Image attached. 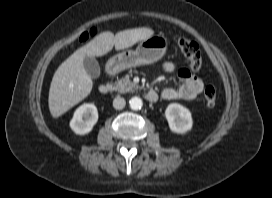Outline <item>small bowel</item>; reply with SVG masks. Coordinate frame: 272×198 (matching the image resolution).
Here are the masks:
<instances>
[{
  "label": "small bowel",
  "mask_w": 272,
  "mask_h": 198,
  "mask_svg": "<svg viewBox=\"0 0 272 198\" xmlns=\"http://www.w3.org/2000/svg\"><path fill=\"white\" fill-rule=\"evenodd\" d=\"M167 72H177L181 84L177 88H166L161 92L164 100H193L204 88V81L192 75L186 68L178 66L175 62L167 61L163 64Z\"/></svg>",
  "instance_id": "1"
}]
</instances>
